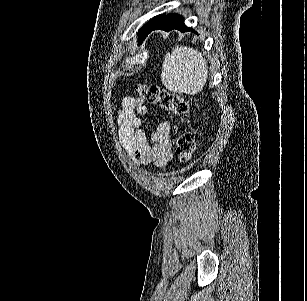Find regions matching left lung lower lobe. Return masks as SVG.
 <instances>
[{
	"label": "left lung lower lobe",
	"mask_w": 307,
	"mask_h": 301,
	"mask_svg": "<svg viewBox=\"0 0 307 301\" xmlns=\"http://www.w3.org/2000/svg\"><path fill=\"white\" fill-rule=\"evenodd\" d=\"M156 29H163L165 31H171L173 29H178L181 32H186L191 30V28H188L182 16L177 14H168V15H162L158 19H156L150 26L149 33Z\"/></svg>",
	"instance_id": "left-lung-lower-lobe-1"
}]
</instances>
